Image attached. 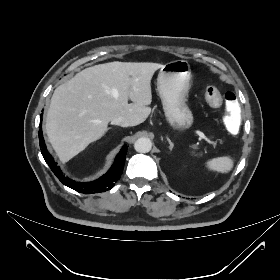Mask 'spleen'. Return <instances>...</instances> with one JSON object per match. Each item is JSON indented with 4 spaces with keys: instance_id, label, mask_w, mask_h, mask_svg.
<instances>
[{
    "instance_id": "1",
    "label": "spleen",
    "mask_w": 280,
    "mask_h": 280,
    "mask_svg": "<svg viewBox=\"0 0 280 280\" xmlns=\"http://www.w3.org/2000/svg\"><path fill=\"white\" fill-rule=\"evenodd\" d=\"M233 165L234 161L229 156L214 158L207 162V167L210 170L223 174L230 172L233 168Z\"/></svg>"
}]
</instances>
